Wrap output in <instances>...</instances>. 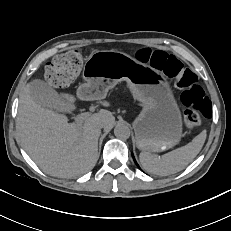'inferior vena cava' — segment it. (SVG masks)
<instances>
[{"label":"inferior vena cava","mask_w":231,"mask_h":231,"mask_svg":"<svg viewBox=\"0 0 231 231\" xmlns=\"http://www.w3.org/2000/svg\"><path fill=\"white\" fill-rule=\"evenodd\" d=\"M99 128H100V129H103V128H104V125H103V124H100V125H99Z\"/></svg>","instance_id":"1"}]
</instances>
